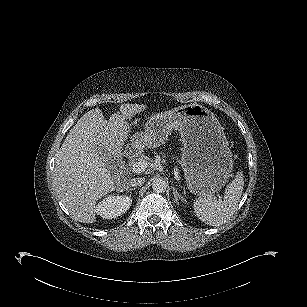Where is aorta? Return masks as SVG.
Returning a JSON list of instances; mask_svg holds the SVG:
<instances>
[{
    "label": "aorta",
    "mask_w": 307,
    "mask_h": 307,
    "mask_svg": "<svg viewBox=\"0 0 307 307\" xmlns=\"http://www.w3.org/2000/svg\"><path fill=\"white\" fill-rule=\"evenodd\" d=\"M167 183L163 179L155 178L152 181V189L156 193H163L166 191Z\"/></svg>",
    "instance_id": "1"
}]
</instances>
